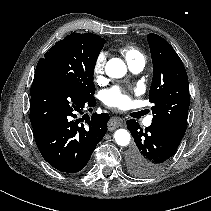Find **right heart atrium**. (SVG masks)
Listing matches in <instances>:
<instances>
[{
    "label": "right heart atrium",
    "instance_id": "right-heart-atrium-1",
    "mask_svg": "<svg viewBox=\"0 0 211 211\" xmlns=\"http://www.w3.org/2000/svg\"><path fill=\"white\" fill-rule=\"evenodd\" d=\"M104 69H105V55L100 54L94 64H93V75L96 80H101L104 75Z\"/></svg>",
    "mask_w": 211,
    "mask_h": 211
}]
</instances>
